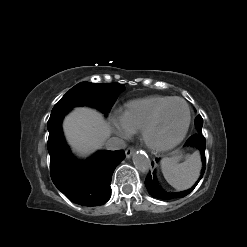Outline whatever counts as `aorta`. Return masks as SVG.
Returning <instances> with one entry per match:
<instances>
[{
    "label": "aorta",
    "mask_w": 247,
    "mask_h": 247,
    "mask_svg": "<svg viewBox=\"0 0 247 247\" xmlns=\"http://www.w3.org/2000/svg\"><path fill=\"white\" fill-rule=\"evenodd\" d=\"M133 163L140 172H148L151 168V161L147 154L137 152L133 155Z\"/></svg>",
    "instance_id": "aorta-1"
}]
</instances>
